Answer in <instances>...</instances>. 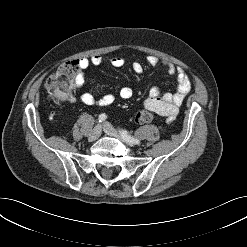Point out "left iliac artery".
Segmentation results:
<instances>
[{
  "label": "left iliac artery",
  "instance_id": "44dca946",
  "mask_svg": "<svg viewBox=\"0 0 247 247\" xmlns=\"http://www.w3.org/2000/svg\"><path fill=\"white\" fill-rule=\"evenodd\" d=\"M121 135L128 141L133 144H139L140 141L138 139H135L133 136L129 135L126 130H121Z\"/></svg>",
  "mask_w": 247,
  "mask_h": 247
}]
</instances>
